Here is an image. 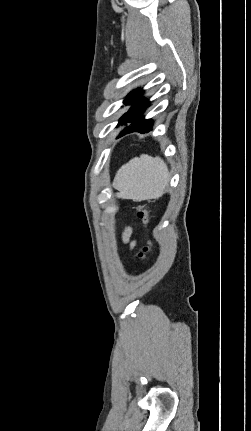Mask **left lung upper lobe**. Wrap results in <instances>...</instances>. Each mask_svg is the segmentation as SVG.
I'll return each instance as SVG.
<instances>
[{
  "label": "left lung upper lobe",
  "mask_w": 251,
  "mask_h": 431,
  "mask_svg": "<svg viewBox=\"0 0 251 431\" xmlns=\"http://www.w3.org/2000/svg\"><path fill=\"white\" fill-rule=\"evenodd\" d=\"M138 93H139V89H136V90H134L133 92H131V93L126 97V99L124 100V104H125V105L130 104V103H131V102L136 98V96L138 95ZM122 118H123V117H122ZM122 118L120 119L119 123L121 122Z\"/></svg>",
  "instance_id": "obj_1"
}]
</instances>
